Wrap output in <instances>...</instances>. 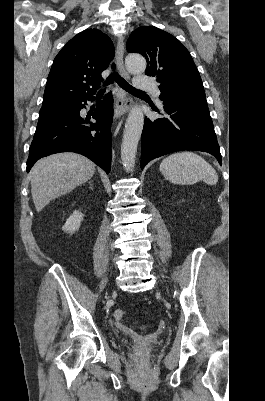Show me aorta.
Here are the masks:
<instances>
[{
    "label": "aorta",
    "instance_id": "762f6f07",
    "mask_svg": "<svg viewBox=\"0 0 265 401\" xmlns=\"http://www.w3.org/2000/svg\"><path fill=\"white\" fill-rule=\"evenodd\" d=\"M125 64L129 72H144L146 60L141 54H128ZM144 114L139 106L131 108L125 122L123 140L121 144V160L126 170H132L135 164L138 142L143 130Z\"/></svg>",
    "mask_w": 265,
    "mask_h": 401
}]
</instances>
